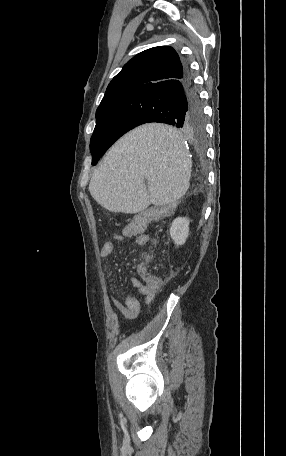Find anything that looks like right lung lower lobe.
<instances>
[{"instance_id":"obj_1","label":"right lung lower lobe","mask_w":286,"mask_h":456,"mask_svg":"<svg viewBox=\"0 0 286 456\" xmlns=\"http://www.w3.org/2000/svg\"><path fill=\"white\" fill-rule=\"evenodd\" d=\"M138 107V125L161 122L192 133L203 123V110L191 74L146 87L132 94Z\"/></svg>"}]
</instances>
